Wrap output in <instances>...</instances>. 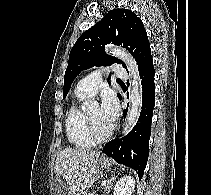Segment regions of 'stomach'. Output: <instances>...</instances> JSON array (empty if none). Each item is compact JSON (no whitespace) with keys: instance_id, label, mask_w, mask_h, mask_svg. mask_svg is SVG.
<instances>
[{"instance_id":"obj_1","label":"stomach","mask_w":211,"mask_h":195,"mask_svg":"<svg viewBox=\"0 0 211 195\" xmlns=\"http://www.w3.org/2000/svg\"><path fill=\"white\" fill-rule=\"evenodd\" d=\"M99 166L101 168H104V169H110L111 166H112V163L106 158H103V159L99 160L98 161V166L96 168V171L93 174H91V176H90L91 177L90 178V182H92V183H94L97 180V178L99 177V174H98ZM56 185L64 186L65 182H63L60 178H57ZM82 194L83 193H81L79 195H82Z\"/></svg>"}]
</instances>
